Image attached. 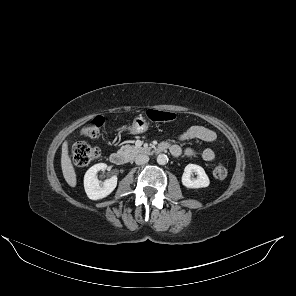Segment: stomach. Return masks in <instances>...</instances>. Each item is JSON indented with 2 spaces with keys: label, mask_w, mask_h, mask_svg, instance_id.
<instances>
[{
  "label": "stomach",
  "mask_w": 296,
  "mask_h": 296,
  "mask_svg": "<svg viewBox=\"0 0 296 296\" xmlns=\"http://www.w3.org/2000/svg\"><path fill=\"white\" fill-rule=\"evenodd\" d=\"M149 128V123L143 117H136L129 127L123 126V130L129 131L131 134H140L146 132Z\"/></svg>",
  "instance_id": "obj_1"
}]
</instances>
